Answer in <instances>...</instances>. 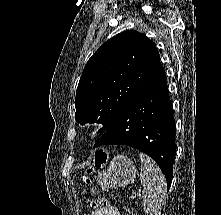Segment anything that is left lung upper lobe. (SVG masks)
Segmentation results:
<instances>
[{
	"label": "left lung upper lobe",
	"instance_id": "obj_1",
	"mask_svg": "<svg viewBox=\"0 0 221 215\" xmlns=\"http://www.w3.org/2000/svg\"><path fill=\"white\" fill-rule=\"evenodd\" d=\"M154 43L134 30L106 41L88 60L75 98V119L102 123L107 130L163 74Z\"/></svg>",
	"mask_w": 221,
	"mask_h": 215
}]
</instances>
